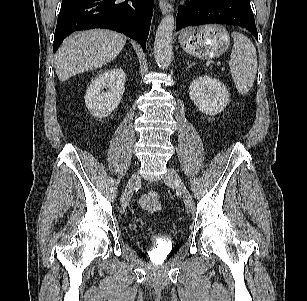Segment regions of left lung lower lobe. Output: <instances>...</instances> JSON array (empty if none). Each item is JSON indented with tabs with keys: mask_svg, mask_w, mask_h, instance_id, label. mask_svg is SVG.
<instances>
[{
	"mask_svg": "<svg viewBox=\"0 0 307 301\" xmlns=\"http://www.w3.org/2000/svg\"><path fill=\"white\" fill-rule=\"evenodd\" d=\"M176 19V28L209 23L237 25L249 30L258 40V33L249 0H190Z\"/></svg>",
	"mask_w": 307,
	"mask_h": 301,
	"instance_id": "obj_1",
	"label": "left lung lower lobe"
}]
</instances>
